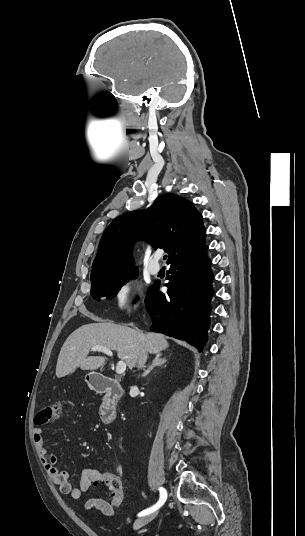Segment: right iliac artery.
I'll return each mask as SVG.
<instances>
[{"label": "right iliac artery", "instance_id": "obj_1", "mask_svg": "<svg viewBox=\"0 0 305 536\" xmlns=\"http://www.w3.org/2000/svg\"><path fill=\"white\" fill-rule=\"evenodd\" d=\"M159 491H160V499L159 501L157 502V504H155L154 506L140 512L138 514V516H145V515H148L154 511H156L157 509H159L163 504L164 502L166 501L167 499V492L166 490L163 488V487H160L159 488Z\"/></svg>", "mask_w": 305, "mask_h": 536}]
</instances>
